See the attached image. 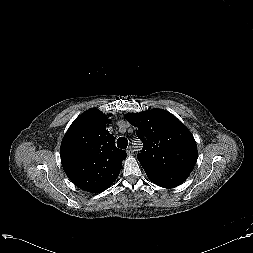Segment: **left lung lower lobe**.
Listing matches in <instances>:
<instances>
[{"label": "left lung lower lobe", "mask_w": 253, "mask_h": 253, "mask_svg": "<svg viewBox=\"0 0 253 253\" xmlns=\"http://www.w3.org/2000/svg\"><path fill=\"white\" fill-rule=\"evenodd\" d=\"M148 178L156 185L163 188H174L183 183L190 173L165 170V169H152L143 167Z\"/></svg>", "instance_id": "1"}]
</instances>
